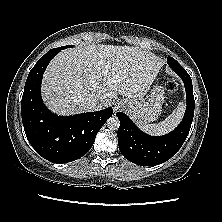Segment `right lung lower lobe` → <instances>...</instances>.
<instances>
[{"label":"right lung lower lobe","mask_w":222,"mask_h":222,"mask_svg":"<svg viewBox=\"0 0 222 222\" xmlns=\"http://www.w3.org/2000/svg\"><path fill=\"white\" fill-rule=\"evenodd\" d=\"M60 51H48L29 72L21 102L24 130L32 147L46 160L67 163L81 158L92 147L108 118L111 107L74 116H57L43 103L41 81L44 71Z\"/></svg>","instance_id":"obj_1"}]
</instances>
